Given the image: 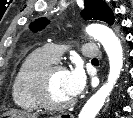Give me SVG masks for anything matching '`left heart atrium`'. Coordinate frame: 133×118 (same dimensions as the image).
<instances>
[{
	"label": "left heart atrium",
	"mask_w": 133,
	"mask_h": 118,
	"mask_svg": "<svg viewBox=\"0 0 133 118\" xmlns=\"http://www.w3.org/2000/svg\"><path fill=\"white\" fill-rule=\"evenodd\" d=\"M86 77L83 70L79 67L66 71L65 87L71 98L77 97L84 90Z\"/></svg>",
	"instance_id": "39dd6f15"
}]
</instances>
